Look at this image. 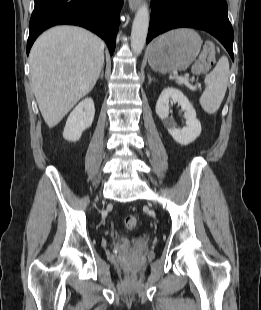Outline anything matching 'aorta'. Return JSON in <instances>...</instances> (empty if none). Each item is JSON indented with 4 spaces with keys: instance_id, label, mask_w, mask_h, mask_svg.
<instances>
[{
    "instance_id": "aorta-1",
    "label": "aorta",
    "mask_w": 261,
    "mask_h": 310,
    "mask_svg": "<svg viewBox=\"0 0 261 310\" xmlns=\"http://www.w3.org/2000/svg\"><path fill=\"white\" fill-rule=\"evenodd\" d=\"M149 18L148 6L144 3L138 9L132 24L131 48L135 55L141 54L144 49L148 33Z\"/></svg>"
}]
</instances>
